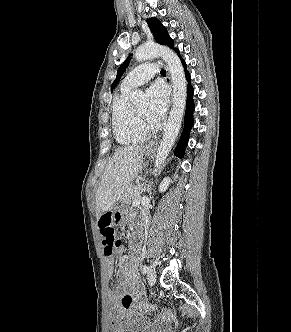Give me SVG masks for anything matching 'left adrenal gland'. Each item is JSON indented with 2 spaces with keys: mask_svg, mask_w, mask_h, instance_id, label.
<instances>
[{
  "mask_svg": "<svg viewBox=\"0 0 291 332\" xmlns=\"http://www.w3.org/2000/svg\"><path fill=\"white\" fill-rule=\"evenodd\" d=\"M151 190H152V184H147L145 187V191H147L148 194H150Z\"/></svg>",
  "mask_w": 291,
  "mask_h": 332,
  "instance_id": "1",
  "label": "left adrenal gland"
}]
</instances>
